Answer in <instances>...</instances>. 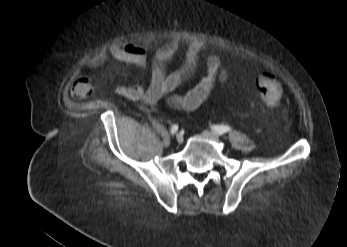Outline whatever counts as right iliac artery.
Instances as JSON below:
<instances>
[{
	"instance_id": "right-iliac-artery-1",
	"label": "right iliac artery",
	"mask_w": 347,
	"mask_h": 247,
	"mask_svg": "<svg viewBox=\"0 0 347 247\" xmlns=\"http://www.w3.org/2000/svg\"><path fill=\"white\" fill-rule=\"evenodd\" d=\"M178 131V125L177 124H174L172 127H171V134L174 135L176 132Z\"/></svg>"
}]
</instances>
